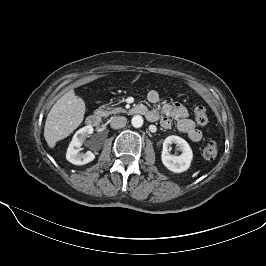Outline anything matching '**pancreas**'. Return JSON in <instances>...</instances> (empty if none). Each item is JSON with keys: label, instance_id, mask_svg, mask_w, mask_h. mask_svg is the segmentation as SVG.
Wrapping results in <instances>:
<instances>
[{"label": "pancreas", "instance_id": "obj_1", "mask_svg": "<svg viewBox=\"0 0 266 266\" xmlns=\"http://www.w3.org/2000/svg\"><path fill=\"white\" fill-rule=\"evenodd\" d=\"M121 112H125V110L120 108V107H116V108L107 107L105 109V106H103V107H101V108H99V109H97L95 111V113L97 115H100L102 117H107V116H109L111 114H118V113H121Z\"/></svg>", "mask_w": 266, "mask_h": 266}]
</instances>
